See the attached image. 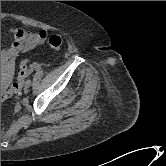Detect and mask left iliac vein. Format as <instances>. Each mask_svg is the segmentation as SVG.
<instances>
[{"instance_id":"1","label":"left iliac vein","mask_w":166,"mask_h":166,"mask_svg":"<svg viewBox=\"0 0 166 166\" xmlns=\"http://www.w3.org/2000/svg\"><path fill=\"white\" fill-rule=\"evenodd\" d=\"M31 85H32V81H31V80H27V81L25 82V87H26V88L31 87Z\"/></svg>"}]
</instances>
